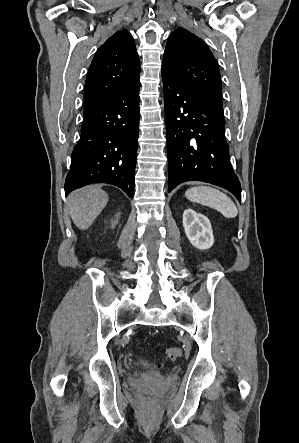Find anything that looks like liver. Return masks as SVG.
I'll return each mask as SVG.
<instances>
[{
	"instance_id": "6515ba94",
	"label": "liver",
	"mask_w": 299,
	"mask_h": 443,
	"mask_svg": "<svg viewBox=\"0 0 299 443\" xmlns=\"http://www.w3.org/2000/svg\"><path fill=\"white\" fill-rule=\"evenodd\" d=\"M108 202V194L97 185H90L68 196L69 214L81 230L88 229Z\"/></svg>"
}]
</instances>
